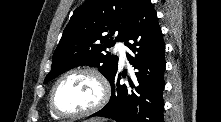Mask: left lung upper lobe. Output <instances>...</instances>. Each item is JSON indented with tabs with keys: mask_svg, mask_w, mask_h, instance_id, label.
Listing matches in <instances>:
<instances>
[{
	"mask_svg": "<svg viewBox=\"0 0 221 122\" xmlns=\"http://www.w3.org/2000/svg\"><path fill=\"white\" fill-rule=\"evenodd\" d=\"M139 0H88L77 8L67 24L52 58L44 83L80 66L98 67L111 82L117 73L118 57L105 54L116 41H124L134 20ZM102 33H106L102 36Z\"/></svg>",
	"mask_w": 221,
	"mask_h": 122,
	"instance_id": "left-lung-upper-lobe-1",
	"label": "left lung upper lobe"
}]
</instances>
